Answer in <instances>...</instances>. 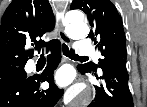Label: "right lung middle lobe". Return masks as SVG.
Here are the masks:
<instances>
[{
	"label": "right lung middle lobe",
	"instance_id": "right-lung-middle-lobe-1",
	"mask_svg": "<svg viewBox=\"0 0 147 107\" xmlns=\"http://www.w3.org/2000/svg\"><path fill=\"white\" fill-rule=\"evenodd\" d=\"M25 76L26 72L24 66H13L0 69V86L12 80L24 78Z\"/></svg>",
	"mask_w": 147,
	"mask_h": 107
}]
</instances>
